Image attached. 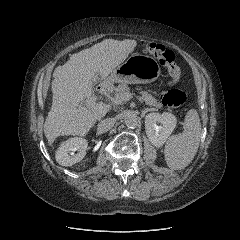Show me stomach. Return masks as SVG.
Returning <instances> with one entry per match:
<instances>
[{"label": "stomach", "mask_w": 240, "mask_h": 240, "mask_svg": "<svg viewBox=\"0 0 240 240\" xmlns=\"http://www.w3.org/2000/svg\"><path fill=\"white\" fill-rule=\"evenodd\" d=\"M160 73V66L153 57L135 53L111 72L110 81L146 84L158 79Z\"/></svg>", "instance_id": "0dacf381"}]
</instances>
